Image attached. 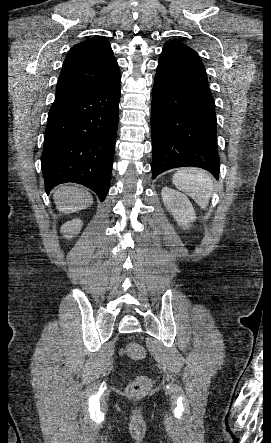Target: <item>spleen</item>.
<instances>
[{"mask_svg": "<svg viewBox=\"0 0 271 443\" xmlns=\"http://www.w3.org/2000/svg\"><path fill=\"white\" fill-rule=\"evenodd\" d=\"M173 184L177 190L188 194L200 208H207L212 190V178L204 170L183 168L173 176Z\"/></svg>", "mask_w": 271, "mask_h": 443, "instance_id": "spleen-1", "label": "spleen"}]
</instances>
